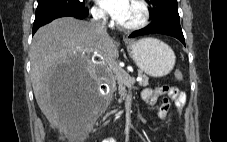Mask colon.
<instances>
[{
    "label": "colon",
    "mask_w": 227,
    "mask_h": 142,
    "mask_svg": "<svg viewBox=\"0 0 227 142\" xmlns=\"http://www.w3.org/2000/svg\"><path fill=\"white\" fill-rule=\"evenodd\" d=\"M175 78H176L177 80H181V79H182V73H181L180 71H176V72H175Z\"/></svg>",
    "instance_id": "5ec220e1"
}]
</instances>
